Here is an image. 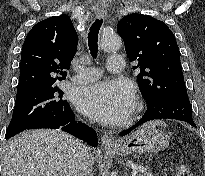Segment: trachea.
<instances>
[{
	"mask_svg": "<svg viewBox=\"0 0 205 176\" xmlns=\"http://www.w3.org/2000/svg\"><path fill=\"white\" fill-rule=\"evenodd\" d=\"M102 22H103L102 19H96L95 22L91 25L88 34V46L94 58L97 55L98 35H99L100 28L102 26Z\"/></svg>",
	"mask_w": 205,
	"mask_h": 176,
	"instance_id": "1",
	"label": "trachea"
}]
</instances>
